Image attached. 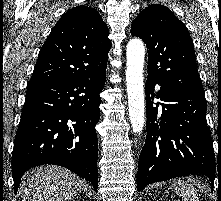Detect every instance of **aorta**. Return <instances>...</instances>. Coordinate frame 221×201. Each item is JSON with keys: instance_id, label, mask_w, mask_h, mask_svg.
<instances>
[{"instance_id": "aorta-1", "label": "aorta", "mask_w": 221, "mask_h": 201, "mask_svg": "<svg viewBox=\"0 0 221 201\" xmlns=\"http://www.w3.org/2000/svg\"><path fill=\"white\" fill-rule=\"evenodd\" d=\"M145 48L139 39H132L127 45L126 85L129 119L134 133L143 130L145 122L144 67Z\"/></svg>"}]
</instances>
